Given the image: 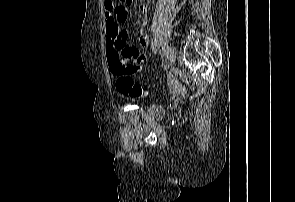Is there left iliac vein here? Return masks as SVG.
<instances>
[{"label":"left iliac vein","mask_w":295,"mask_h":202,"mask_svg":"<svg viewBox=\"0 0 295 202\" xmlns=\"http://www.w3.org/2000/svg\"><path fill=\"white\" fill-rule=\"evenodd\" d=\"M175 57H176V49L173 45H171L167 49V58H168V65L169 66L174 64Z\"/></svg>","instance_id":"obj_1"}]
</instances>
